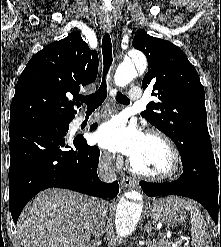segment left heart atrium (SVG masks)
Here are the masks:
<instances>
[{
	"instance_id": "39dd6f15",
	"label": "left heart atrium",
	"mask_w": 221,
	"mask_h": 247,
	"mask_svg": "<svg viewBox=\"0 0 221 247\" xmlns=\"http://www.w3.org/2000/svg\"><path fill=\"white\" fill-rule=\"evenodd\" d=\"M145 137L146 134L135 123L116 117L100 126L95 140L101 147L132 159L140 150Z\"/></svg>"
}]
</instances>
